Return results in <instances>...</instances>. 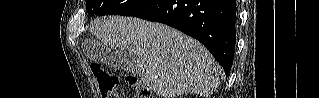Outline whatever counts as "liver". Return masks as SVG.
<instances>
[{
    "label": "liver",
    "instance_id": "6515ba94",
    "mask_svg": "<svg viewBox=\"0 0 319 98\" xmlns=\"http://www.w3.org/2000/svg\"><path fill=\"white\" fill-rule=\"evenodd\" d=\"M89 31L104 46L135 55L141 81L161 98L184 93L208 98L219 85L220 67L210 52L167 25L112 16L95 21Z\"/></svg>",
    "mask_w": 319,
    "mask_h": 98
}]
</instances>
